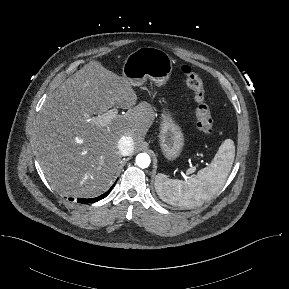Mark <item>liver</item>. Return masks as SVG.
Here are the masks:
<instances>
[{"instance_id":"6515ba94","label":"liver","mask_w":289,"mask_h":289,"mask_svg":"<svg viewBox=\"0 0 289 289\" xmlns=\"http://www.w3.org/2000/svg\"><path fill=\"white\" fill-rule=\"evenodd\" d=\"M132 85L92 60L46 98L36 121L33 143L51 187L64 196L95 197L114 181L121 154L119 139L138 146L154 121L152 107L137 104ZM118 105L128 110L108 124L94 115Z\"/></svg>"}]
</instances>
